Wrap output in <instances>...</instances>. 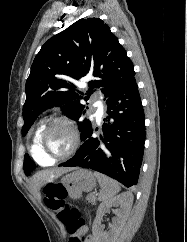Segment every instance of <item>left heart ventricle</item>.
<instances>
[{
	"label": "left heart ventricle",
	"instance_id": "left-heart-ventricle-1",
	"mask_svg": "<svg viewBox=\"0 0 187 242\" xmlns=\"http://www.w3.org/2000/svg\"><path fill=\"white\" fill-rule=\"evenodd\" d=\"M72 144V135L68 127L58 124L48 132L44 146L51 155H61L69 150Z\"/></svg>",
	"mask_w": 187,
	"mask_h": 242
}]
</instances>
